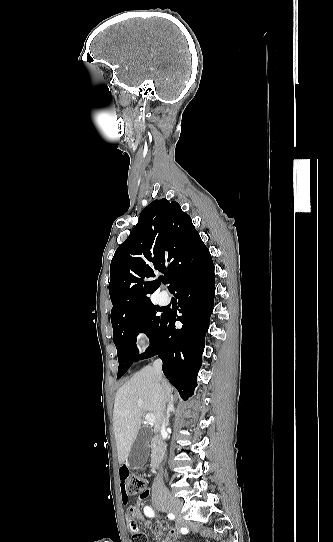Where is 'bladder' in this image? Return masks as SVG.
<instances>
[{
	"mask_svg": "<svg viewBox=\"0 0 333 542\" xmlns=\"http://www.w3.org/2000/svg\"><path fill=\"white\" fill-rule=\"evenodd\" d=\"M178 542H189L188 540L178 541Z\"/></svg>",
	"mask_w": 333,
	"mask_h": 542,
	"instance_id": "obj_1",
	"label": "bladder"
}]
</instances>
